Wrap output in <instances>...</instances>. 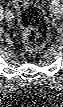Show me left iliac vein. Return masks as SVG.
<instances>
[{
  "mask_svg": "<svg viewBox=\"0 0 63 107\" xmlns=\"http://www.w3.org/2000/svg\"><path fill=\"white\" fill-rule=\"evenodd\" d=\"M53 13L56 17H60L62 15V8L61 6H56L53 8Z\"/></svg>",
  "mask_w": 63,
  "mask_h": 107,
  "instance_id": "4c4485c4",
  "label": "left iliac vein"
}]
</instances>
